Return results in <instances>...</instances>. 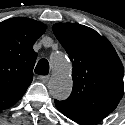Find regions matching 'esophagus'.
I'll list each match as a JSON object with an SVG mask.
<instances>
[{
	"label": "esophagus",
	"instance_id": "34e87169",
	"mask_svg": "<svg viewBox=\"0 0 125 125\" xmlns=\"http://www.w3.org/2000/svg\"><path fill=\"white\" fill-rule=\"evenodd\" d=\"M38 79L43 82H47L50 79L49 75L39 76Z\"/></svg>",
	"mask_w": 125,
	"mask_h": 125
}]
</instances>
